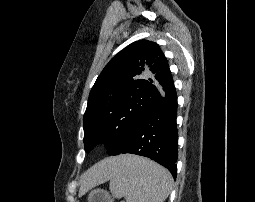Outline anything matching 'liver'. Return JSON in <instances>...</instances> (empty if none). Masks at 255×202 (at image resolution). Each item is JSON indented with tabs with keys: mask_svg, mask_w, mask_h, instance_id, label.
I'll return each mask as SVG.
<instances>
[{
	"mask_svg": "<svg viewBox=\"0 0 255 202\" xmlns=\"http://www.w3.org/2000/svg\"><path fill=\"white\" fill-rule=\"evenodd\" d=\"M126 158V155L104 159L90 168L81 179L80 191L88 189L105 182L110 177L112 168L118 167Z\"/></svg>",
	"mask_w": 255,
	"mask_h": 202,
	"instance_id": "liver-1",
	"label": "liver"
}]
</instances>
